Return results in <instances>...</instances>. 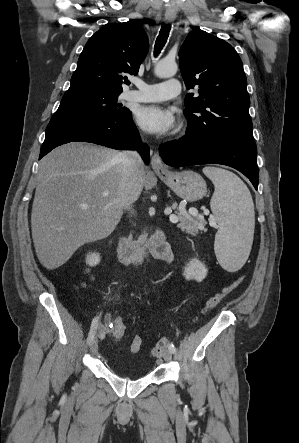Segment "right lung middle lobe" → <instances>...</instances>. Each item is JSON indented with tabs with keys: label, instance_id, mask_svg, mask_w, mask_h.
Wrapping results in <instances>:
<instances>
[{
	"label": "right lung middle lobe",
	"instance_id": "1",
	"mask_svg": "<svg viewBox=\"0 0 299 443\" xmlns=\"http://www.w3.org/2000/svg\"><path fill=\"white\" fill-rule=\"evenodd\" d=\"M120 94L94 87L69 88L55 113L93 117L123 116L130 111L117 103Z\"/></svg>",
	"mask_w": 299,
	"mask_h": 443
}]
</instances>
